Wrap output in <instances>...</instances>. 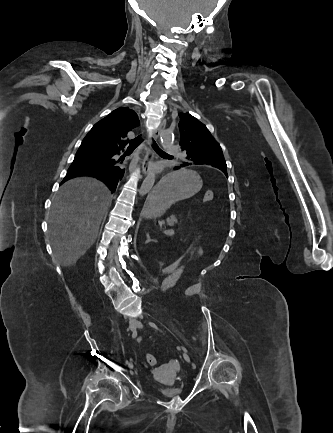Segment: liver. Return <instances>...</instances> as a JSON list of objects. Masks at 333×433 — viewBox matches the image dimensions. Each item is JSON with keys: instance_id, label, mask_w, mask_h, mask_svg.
I'll use <instances>...</instances> for the list:
<instances>
[{"instance_id": "liver-1", "label": "liver", "mask_w": 333, "mask_h": 433, "mask_svg": "<svg viewBox=\"0 0 333 433\" xmlns=\"http://www.w3.org/2000/svg\"><path fill=\"white\" fill-rule=\"evenodd\" d=\"M111 202L109 189L91 177L75 178L61 186L49 212L53 255L61 266L75 264L95 243Z\"/></svg>"}]
</instances>
